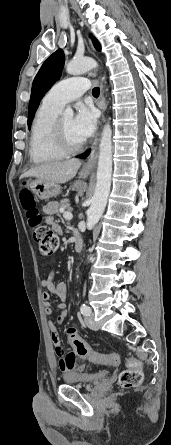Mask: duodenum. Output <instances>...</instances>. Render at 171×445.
<instances>
[{
	"mask_svg": "<svg viewBox=\"0 0 171 445\" xmlns=\"http://www.w3.org/2000/svg\"><path fill=\"white\" fill-rule=\"evenodd\" d=\"M83 242L80 236H75L74 239V247L76 251H80L82 249Z\"/></svg>",
	"mask_w": 171,
	"mask_h": 445,
	"instance_id": "duodenum-1",
	"label": "duodenum"
}]
</instances>
